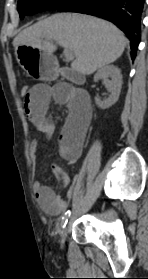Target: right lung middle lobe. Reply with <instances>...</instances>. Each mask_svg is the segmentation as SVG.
Returning a JSON list of instances; mask_svg holds the SVG:
<instances>
[{
    "mask_svg": "<svg viewBox=\"0 0 148 279\" xmlns=\"http://www.w3.org/2000/svg\"><path fill=\"white\" fill-rule=\"evenodd\" d=\"M78 0H18L17 9L20 18L33 15L44 10H57L65 5L73 4Z\"/></svg>",
    "mask_w": 148,
    "mask_h": 279,
    "instance_id": "right-lung-middle-lobe-1",
    "label": "right lung middle lobe"
}]
</instances>
